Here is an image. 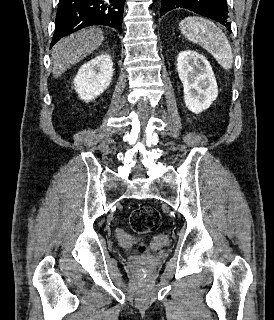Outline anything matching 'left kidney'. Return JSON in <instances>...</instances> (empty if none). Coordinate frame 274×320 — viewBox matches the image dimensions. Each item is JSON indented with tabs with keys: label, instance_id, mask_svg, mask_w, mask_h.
<instances>
[{
	"label": "left kidney",
	"instance_id": "5707ae66",
	"mask_svg": "<svg viewBox=\"0 0 274 320\" xmlns=\"http://www.w3.org/2000/svg\"><path fill=\"white\" fill-rule=\"evenodd\" d=\"M177 72L183 84L186 108L194 114L207 110L218 96L214 72L206 58L193 50L180 52Z\"/></svg>",
	"mask_w": 274,
	"mask_h": 320
}]
</instances>
